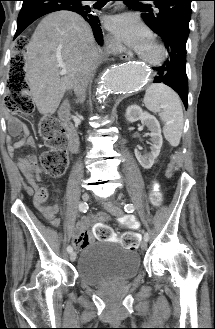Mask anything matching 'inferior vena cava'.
I'll use <instances>...</instances> for the list:
<instances>
[{
  "mask_svg": "<svg viewBox=\"0 0 215 329\" xmlns=\"http://www.w3.org/2000/svg\"><path fill=\"white\" fill-rule=\"evenodd\" d=\"M100 53L99 49H92L80 64L73 84V89L77 96L81 97L84 94L93 73L98 66Z\"/></svg>",
  "mask_w": 215,
  "mask_h": 329,
  "instance_id": "inferior-vena-cava-1",
  "label": "inferior vena cava"
}]
</instances>
